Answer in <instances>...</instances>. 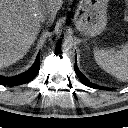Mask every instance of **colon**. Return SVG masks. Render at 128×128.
<instances>
[{
  "mask_svg": "<svg viewBox=\"0 0 128 128\" xmlns=\"http://www.w3.org/2000/svg\"><path fill=\"white\" fill-rule=\"evenodd\" d=\"M124 20L128 22V0H125Z\"/></svg>",
  "mask_w": 128,
  "mask_h": 128,
  "instance_id": "5ec220e1",
  "label": "colon"
}]
</instances>
